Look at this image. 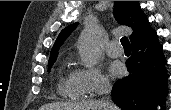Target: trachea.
<instances>
[{
    "mask_svg": "<svg viewBox=\"0 0 171 110\" xmlns=\"http://www.w3.org/2000/svg\"><path fill=\"white\" fill-rule=\"evenodd\" d=\"M121 44L124 49H130V43L127 37H122L121 38Z\"/></svg>",
    "mask_w": 171,
    "mask_h": 110,
    "instance_id": "obj_1",
    "label": "trachea"
}]
</instances>
